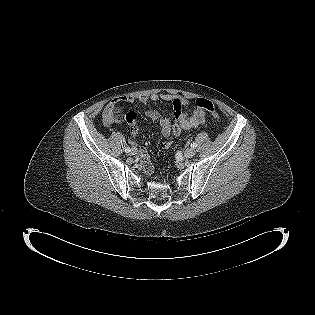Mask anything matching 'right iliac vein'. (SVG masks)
<instances>
[{
	"instance_id": "right-iliac-vein-1",
	"label": "right iliac vein",
	"mask_w": 315,
	"mask_h": 315,
	"mask_svg": "<svg viewBox=\"0 0 315 315\" xmlns=\"http://www.w3.org/2000/svg\"><path fill=\"white\" fill-rule=\"evenodd\" d=\"M137 153V149L136 148H132V150L130 151L131 155H135Z\"/></svg>"
}]
</instances>
